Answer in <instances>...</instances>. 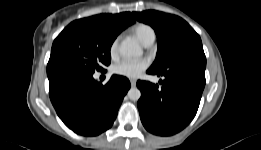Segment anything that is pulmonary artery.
<instances>
[{"instance_id":"e3ab8cb5","label":"pulmonary artery","mask_w":261,"mask_h":150,"mask_svg":"<svg viewBox=\"0 0 261 150\" xmlns=\"http://www.w3.org/2000/svg\"><path fill=\"white\" fill-rule=\"evenodd\" d=\"M154 40H155V38H150L144 45L146 47H149V46H151L153 44Z\"/></svg>"}]
</instances>
